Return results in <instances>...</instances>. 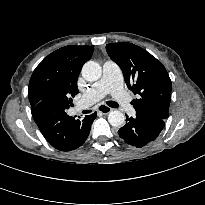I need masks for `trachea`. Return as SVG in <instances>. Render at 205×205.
Wrapping results in <instances>:
<instances>
[{"instance_id":"trachea-1","label":"trachea","mask_w":205,"mask_h":205,"mask_svg":"<svg viewBox=\"0 0 205 205\" xmlns=\"http://www.w3.org/2000/svg\"><path fill=\"white\" fill-rule=\"evenodd\" d=\"M107 105L113 108H117L118 104L114 101H107Z\"/></svg>"}]
</instances>
